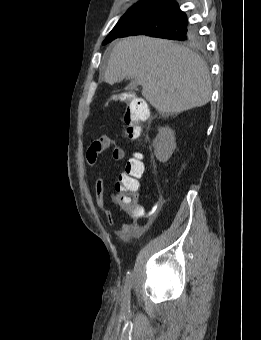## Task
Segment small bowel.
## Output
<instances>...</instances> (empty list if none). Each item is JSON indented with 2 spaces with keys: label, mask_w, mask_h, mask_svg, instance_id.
Here are the masks:
<instances>
[{
  "label": "small bowel",
  "mask_w": 261,
  "mask_h": 340,
  "mask_svg": "<svg viewBox=\"0 0 261 340\" xmlns=\"http://www.w3.org/2000/svg\"><path fill=\"white\" fill-rule=\"evenodd\" d=\"M111 145L112 140L107 135H103L95 140L86 151V163L89 166H93L96 163L98 156L108 150ZM111 158L114 162H120L125 158V151L120 147H115L112 151ZM104 192L105 178H99L95 183L96 205L103 213L106 220L111 225H116L117 223L112 212L105 207ZM136 204L140 207V212L137 214L130 213L131 222L119 224L116 230V234L125 241L130 240L132 237L141 235L146 230L147 225L149 224V221L146 224L141 223V220L145 217V212L138 203Z\"/></svg>",
  "instance_id": "1"
}]
</instances>
